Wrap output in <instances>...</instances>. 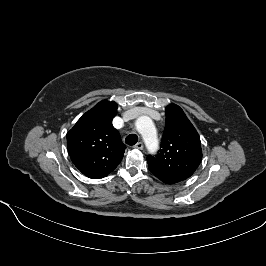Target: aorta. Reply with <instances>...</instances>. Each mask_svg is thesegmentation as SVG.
<instances>
[{"label": "aorta", "instance_id": "aorta-1", "mask_svg": "<svg viewBox=\"0 0 266 266\" xmlns=\"http://www.w3.org/2000/svg\"><path fill=\"white\" fill-rule=\"evenodd\" d=\"M136 128L142 135L149 152H154L158 148V139L153 121L148 116H140L136 120Z\"/></svg>", "mask_w": 266, "mask_h": 266}]
</instances>
